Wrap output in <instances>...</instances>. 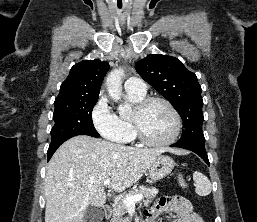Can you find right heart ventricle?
Wrapping results in <instances>:
<instances>
[{"label": "right heart ventricle", "instance_id": "right-heart-ventricle-1", "mask_svg": "<svg viewBox=\"0 0 257 222\" xmlns=\"http://www.w3.org/2000/svg\"><path fill=\"white\" fill-rule=\"evenodd\" d=\"M145 98V94L140 95V94H135L127 91V100L133 104L136 105L138 104L142 99ZM119 122L122 124V126L126 130V135L127 139L124 142L121 143H127L130 142L134 139L135 134L131 122V115L130 114H125V113H120L118 116Z\"/></svg>", "mask_w": 257, "mask_h": 222}]
</instances>
